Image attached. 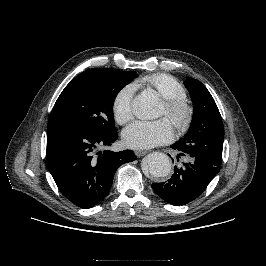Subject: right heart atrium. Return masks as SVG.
I'll use <instances>...</instances> for the list:
<instances>
[{
    "label": "right heart atrium",
    "instance_id": "1",
    "mask_svg": "<svg viewBox=\"0 0 266 266\" xmlns=\"http://www.w3.org/2000/svg\"><path fill=\"white\" fill-rule=\"evenodd\" d=\"M134 87L129 85L117 92L113 99L112 111L115 120L124 124L133 116Z\"/></svg>",
    "mask_w": 266,
    "mask_h": 266
}]
</instances>
